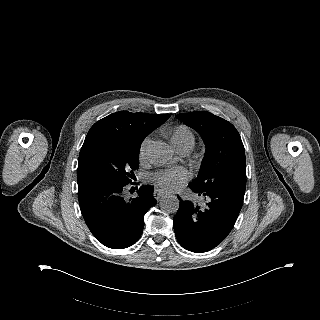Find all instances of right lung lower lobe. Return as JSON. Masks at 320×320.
<instances>
[{
    "mask_svg": "<svg viewBox=\"0 0 320 320\" xmlns=\"http://www.w3.org/2000/svg\"><path fill=\"white\" fill-rule=\"evenodd\" d=\"M77 182L81 213L92 234L109 248L133 245L142 234L145 213L156 204L154 188L141 186L138 196L127 201L129 183L96 174H80Z\"/></svg>",
    "mask_w": 320,
    "mask_h": 320,
    "instance_id": "obj_1",
    "label": "right lung lower lobe"
}]
</instances>
